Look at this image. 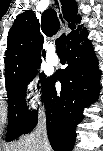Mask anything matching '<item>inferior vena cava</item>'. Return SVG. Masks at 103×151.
<instances>
[{"label": "inferior vena cava", "mask_w": 103, "mask_h": 151, "mask_svg": "<svg viewBox=\"0 0 103 151\" xmlns=\"http://www.w3.org/2000/svg\"><path fill=\"white\" fill-rule=\"evenodd\" d=\"M42 117L39 118V125L37 128V133L43 137L44 145L48 144L47 134H46V120L44 113L41 114Z\"/></svg>", "instance_id": "inferior-vena-cava-1"}]
</instances>
